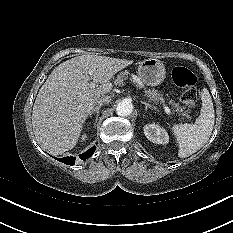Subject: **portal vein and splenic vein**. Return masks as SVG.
Returning <instances> with one entry per match:
<instances>
[{"mask_svg":"<svg viewBox=\"0 0 233 233\" xmlns=\"http://www.w3.org/2000/svg\"><path fill=\"white\" fill-rule=\"evenodd\" d=\"M89 75H90V76L93 75V71H89ZM133 81H134L135 83L141 85V82H140L139 78H137L136 76H133ZM89 86H90V88H95V83L92 82V83L89 84ZM163 108H164V111H165L167 114H170V113H171V110L169 109L168 106L164 105Z\"/></svg>","mask_w":233,"mask_h":233,"instance_id":"18ae733b","label":"portal vein and splenic vein"}]
</instances>
